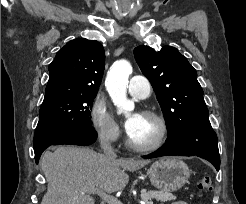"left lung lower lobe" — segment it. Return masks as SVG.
<instances>
[{
    "label": "left lung lower lobe",
    "mask_w": 246,
    "mask_h": 204,
    "mask_svg": "<svg viewBox=\"0 0 246 204\" xmlns=\"http://www.w3.org/2000/svg\"><path fill=\"white\" fill-rule=\"evenodd\" d=\"M167 155L198 156L211 162L217 171L220 167L217 135L209 121L188 125L177 130L168 136L161 149L144 158Z\"/></svg>",
    "instance_id": "0a47b994"
}]
</instances>
